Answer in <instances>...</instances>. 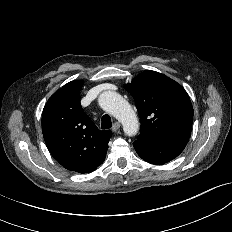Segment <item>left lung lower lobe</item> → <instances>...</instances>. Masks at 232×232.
Instances as JSON below:
<instances>
[{"instance_id": "0a47b994", "label": "left lung lower lobe", "mask_w": 232, "mask_h": 232, "mask_svg": "<svg viewBox=\"0 0 232 232\" xmlns=\"http://www.w3.org/2000/svg\"><path fill=\"white\" fill-rule=\"evenodd\" d=\"M187 141L171 139L163 141L136 140L133 146L138 155L149 163L164 164L176 158L185 148Z\"/></svg>"}]
</instances>
